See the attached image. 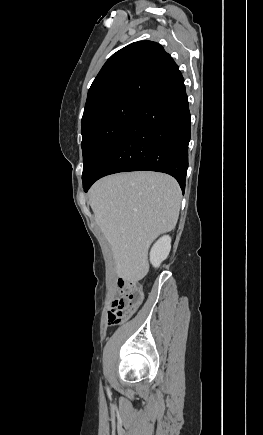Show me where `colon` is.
I'll list each match as a JSON object with an SVG mask.
<instances>
[{
  "label": "colon",
  "instance_id": "1",
  "mask_svg": "<svg viewBox=\"0 0 263 435\" xmlns=\"http://www.w3.org/2000/svg\"><path fill=\"white\" fill-rule=\"evenodd\" d=\"M119 295L112 301L108 318L110 324H119L130 317L142 301V288L138 281L119 280Z\"/></svg>",
  "mask_w": 263,
  "mask_h": 435
}]
</instances>
